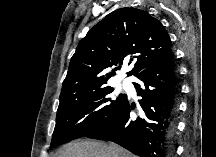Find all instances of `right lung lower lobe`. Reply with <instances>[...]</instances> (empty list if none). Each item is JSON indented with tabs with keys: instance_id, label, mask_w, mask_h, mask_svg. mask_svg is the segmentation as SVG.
I'll list each match as a JSON object with an SVG mask.
<instances>
[{
	"instance_id": "1",
	"label": "right lung lower lobe",
	"mask_w": 216,
	"mask_h": 157,
	"mask_svg": "<svg viewBox=\"0 0 216 157\" xmlns=\"http://www.w3.org/2000/svg\"><path fill=\"white\" fill-rule=\"evenodd\" d=\"M136 77L141 113L133 116L134 105L127 100L112 120L86 137L115 142L139 157H173L180 90L172 50Z\"/></svg>"
}]
</instances>
